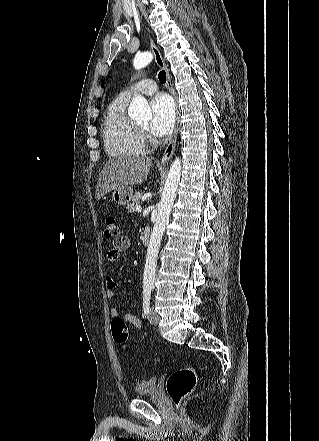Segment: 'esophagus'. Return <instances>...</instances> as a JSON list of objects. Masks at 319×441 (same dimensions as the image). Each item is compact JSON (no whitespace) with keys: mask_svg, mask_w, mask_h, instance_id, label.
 Returning <instances> with one entry per match:
<instances>
[{"mask_svg":"<svg viewBox=\"0 0 319 441\" xmlns=\"http://www.w3.org/2000/svg\"><path fill=\"white\" fill-rule=\"evenodd\" d=\"M150 47L153 52L156 64L166 72V79H167L166 84L169 89V92L171 93V95L174 98L175 105H176V120H175L174 133H173L171 141L169 142L168 146L165 149L164 155L160 159L161 164H166L170 160V158L172 157L174 150H175L178 129H179L180 113H179V107L177 104V97H176L174 89L172 87V81H171V76H170L169 70L167 68V65L165 64V61H164L158 47L156 46V44L154 43V41L152 39H150Z\"/></svg>","mask_w":319,"mask_h":441,"instance_id":"esophagus-1","label":"esophagus"}]
</instances>
